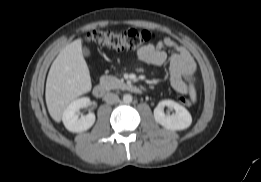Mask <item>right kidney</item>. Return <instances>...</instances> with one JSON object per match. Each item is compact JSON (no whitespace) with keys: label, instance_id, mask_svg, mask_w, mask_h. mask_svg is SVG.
<instances>
[{"label":"right kidney","instance_id":"right-kidney-1","mask_svg":"<svg viewBox=\"0 0 261 182\" xmlns=\"http://www.w3.org/2000/svg\"><path fill=\"white\" fill-rule=\"evenodd\" d=\"M90 102L87 97L79 98L72 101L64 110L62 121L67 130L71 132H83L92 127L95 122V115L89 113L79 117V110L86 107Z\"/></svg>","mask_w":261,"mask_h":182}]
</instances>
